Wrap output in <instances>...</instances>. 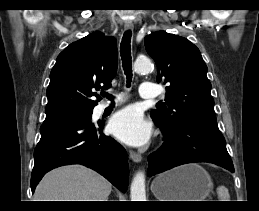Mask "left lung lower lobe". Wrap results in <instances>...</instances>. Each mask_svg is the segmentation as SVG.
Returning a JSON list of instances; mask_svg holds the SVG:
<instances>
[{"label":"left lung lower lobe","instance_id":"obj_1","mask_svg":"<svg viewBox=\"0 0 259 211\" xmlns=\"http://www.w3.org/2000/svg\"><path fill=\"white\" fill-rule=\"evenodd\" d=\"M164 144L148 157L149 176L192 162H209L234 172L226 141L216 126L186 122L165 132Z\"/></svg>","mask_w":259,"mask_h":211}]
</instances>
